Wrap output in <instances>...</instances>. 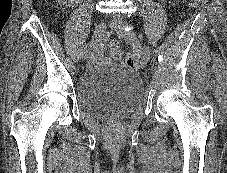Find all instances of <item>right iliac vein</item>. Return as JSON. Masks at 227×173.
I'll list each match as a JSON object with an SVG mask.
<instances>
[{
	"label": "right iliac vein",
	"mask_w": 227,
	"mask_h": 173,
	"mask_svg": "<svg viewBox=\"0 0 227 173\" xmlns=\"http://www.w3.org/2000/svg\"><path fill=\"white\" fill-rule=\"evenodd\" d=\"M105 29H106L105 23L103 21L99 22L94 30L92 36V43L87 53L82 56V59L87 60L91 58L94 55V53L98 50L99 43L103 41Z\"/></svg>",
	"instance_id": "1"
}]
</instances>
